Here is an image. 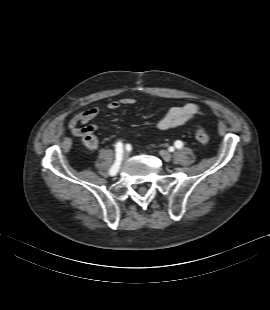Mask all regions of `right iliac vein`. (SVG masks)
Listing matches in <instances>:
<instances>
[{
	"mask_svg": "<svg viewBox=\"0 0 270 310\" xmlns=\"http://www.w3.org/2000/svg\"><path fill=\"white\" fill-rule=\"evenodd\" d=\"M128 156H129L128 152H124L123 159L126 160L128 158Z\"/></svg>",
	"mask_w": 270,
	"mask_h": 310,
	"instance_id": "63e3f726",
	"label": "right iliac vein"
}]
</instances>
